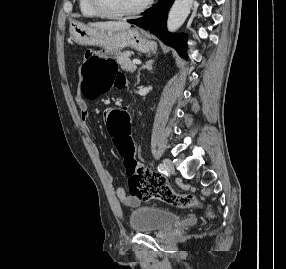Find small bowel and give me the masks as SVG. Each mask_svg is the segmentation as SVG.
I'll list each match as a JSON object with an SVG mask.
<instances>
[{"label": "small bowel", "mask_w": 286, "mask_h": 269, "mask_svg": "<svg viewBox=\"0 0 286 269\" xmlns=\"http://www.w3.org/2000/svg\"><path fill=\"white\" fill-rule=\"evenodd\" d=\"M123 85H124V81L120 87H122ZM78 106L80 109V119L85 125H87V122L89 121V118H90V113L88 110L87 103L81 97L78 98ZM109 109H112V108H105V111L100 112V119H99L100 123H107V116L109 115ZM96 152L99 154V151L97 149H96ZM105 175H106V179L108 183L112 184L114 180L112 174L107 171ZM115 195L120 202L130 207L138 206L141 200V198L128 195L126 191L124 190V188L122 187H118L115 189Z\"/></svg>", "instance_id": "c3829d8e"}]
</instances>
